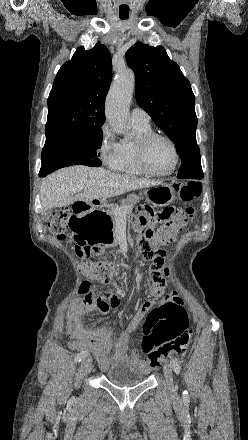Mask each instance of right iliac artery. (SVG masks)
Returning <instances> with one entry per match:
<instances>
[{"instance_id":"obj_1","label":"right iliac artery","mask_w":248,"mask_h":440,"mask_svg":"<svg viewBox=\"0 0 248 440\" xmlns=\"http://www.w3.org/2000/svg\"><path fill=\"white\" fill-rule=\"evenodd\" d=\"M89 355L87 351H82L75 356V362H80Z\"/></svg>"}]
</instances>
